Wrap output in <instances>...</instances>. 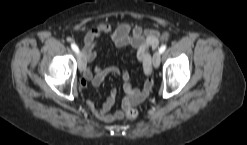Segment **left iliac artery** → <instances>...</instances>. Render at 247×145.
Masks as SVG:
<instances>
[{
    "mask_svg": "<svg viewBox=\"0 0 247 145\" xmlns=\"http://www.w3.org/2000/svg\"><path fill=\"white\" fill-rule=\"evenodd\" d=\"M166 47L167 46L165 44L160 47L159 51L161 54L166 50Z\"/></svg>",
    "mask_w": 247,
    "mask_h": 145,
    "instance_id": "44dca946",
    "label": "left iliac artery"
}]
</instances>
